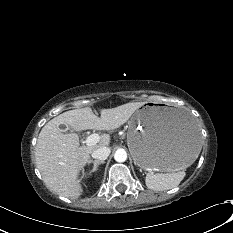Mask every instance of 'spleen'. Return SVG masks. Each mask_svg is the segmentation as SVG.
<instances>
[{
  "label": "spleen",
  "mask_w": 233,
  "mask_h": 233,
  "mask_svg": "<svg viewBox=\"0 0 233 233\" xmlns=\"http://www.w3.org/2000/svg\"><path fill=\"white\" fill-rule=\"evenodd\" d=\"M185 172H172V173H148L146 175L145 183L146 186L154 191H165L172 189L179 185L181 180L184 178Z\"/></svg>",
  "instance_id": "3e777b00"
}]
</instances>
